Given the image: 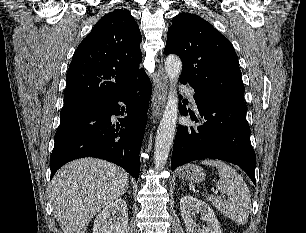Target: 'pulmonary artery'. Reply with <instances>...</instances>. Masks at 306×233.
<instances>
[{
  "instance_id": "obj_1",
  "label": "pulmonary artery",
  "mask_w": 306,
  "mask_h": 233,
  "mask_svg": "<svg viewBox=\"0 0 306 233\" xmlns=\"http://www.w3.org/2000/svg\"><path fill=\"white\" fill-rule=\"evenodd\" d=\"M182 89H183V91L185 92V94L189 97V99H190L192 105H193L194 107H196V103H195V100H194V97H193V96H194V91H193V89L190 88V87H186V86H184Z\"/></svg>"
}]
</instances>
